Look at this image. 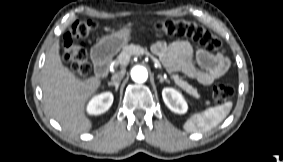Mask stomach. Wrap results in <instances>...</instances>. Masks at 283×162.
Instances as JSON below:
<instances>
[{"mask_svg":"<svg viewBox=\"0 0 283 162\" xmlns=\"http://www.w3.org/2000/svg\"><path fill=\"white\" fill-rule=\"evenodd\" d=\"M132 26L123 24L110 35L103 37L94 47L98 59H108L124 48L131 39Z\"/></svg>","mask_w":283,"mask_h":162,"instance_id":"1","label":"stomach"}]
</instances>
